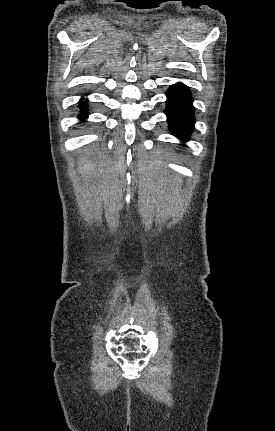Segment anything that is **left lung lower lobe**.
<instances>
[{
	"instance_id": "left-lung-lower-lobe-1",
	"label": "left lung lower lobe",
	"mask_w": 275,
	"mask_h": 431,
	"mask_svg": "<svg viewBox=\"0 0 275 431\" xmlns=\"http://www.w3.org/2000/svg\"><path fill=\"white\" fill-rule=\"evenodd\" d=\"M166 96L165 114L170 131L179 139L187 141L195 124L191 92L183 83H176L169 87Z\"/></svg>"
}]
</instances>
